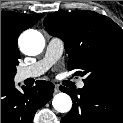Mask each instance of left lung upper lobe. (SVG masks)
Wrapping results in <instances>:
<instances>
[{
	"instance_id": "1",
	"label": "left lung upper lobe",
	"mask_w": 123,
	"mask_h": 123,
	"mask_svg": "<svg viewBox=\"0 0 123 123\" xmlns=\"http://www.w3.org/2000/svg\"><path fill=\"white\" fill-rule=\"evenodd\" d=\"M44 26L64 41L69 70L85 76L84 83L123 86V30L92 11L48 15Z\"/></svg>"
}]
</instances>
